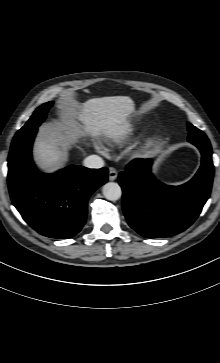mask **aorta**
<instances>
[{"mask_svg":"<svg viewBox=\"0 0 220 363\" xmlns=\"http://www.w3.org/2000/svg\"><path fill=\"white\" fill-rule=\"evenodd\" d=\"M103 195L107 200L116 201L121 198L122 190L118 183L108 182L103 186Z\"/></svg>","mask_w":220,"mask_h":363,"instance_id":"1","label":"aorta"}]
</instances>
